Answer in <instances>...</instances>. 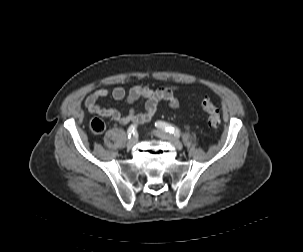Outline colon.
Here are the masks:
<instances>
[{"label":"colon","mask_w":303,"mask_h":252,"mask_svg":"<svg viewBox=\"0 0 303 252\" xmlns=\"http://www.w3.org/2000/svg\"><path fill=\"white\" fill-rule=\"evenodd\" d=\"M201 107L207 113L210 125L216 127L220 122L219 109L209 99H203L201 101ZM90 128L94 134H101L105 130V123L102 120L95 118L92 119Z\"/></svg>","instance_id":"5ec220e1"}]
</instances>
